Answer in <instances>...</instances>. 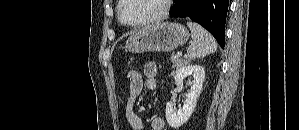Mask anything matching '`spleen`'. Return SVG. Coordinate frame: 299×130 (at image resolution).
Wrapping results in <instances>:
<instances>
[{
  "instance_id": "3e777b00",
  "label": "spleen",
  "mask_w": 299,
  "mask_h": 130,
  "mask_svg": "<svg viewBox=\"0 0 299 130\" xmlns=\"http://www.w3.org/2000/svg\"><path fill=\"white\" fill-rule=\"evenodd\" d=\"M187 26L191 30L192 42L187 49L189 59L202 58L217 50V43L213 36L202 26L188 21Z\"/></svg>"
}]
</instances>
